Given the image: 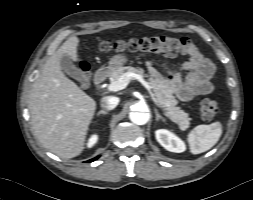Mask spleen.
I'll return each instance as SVG.
<instances>
[{"label":"spleen","instance_id":"3e777b00","mask_svg":"<svg viewBox=\"0 0 253 200\" xmlns=\"http://www.w3.org/2000/svg\"><path fill=\"white\" fill-rule=\"evenodd\" d=\"M221 134L222 126L220 122L196 126L188 134L191 153L200 154L211 149L218 142Z\"/></svg>","mask_w":253,"mask_h":200}]
</instances>
